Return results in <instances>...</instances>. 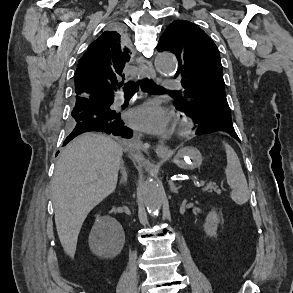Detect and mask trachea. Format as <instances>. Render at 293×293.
I'll use <instances>...</instances> for the list:
<instances>
[{
  "label": "trachea",
  "instance_id": "1",
  "mask_svg": "<svg viewBox=\"0 0 293 293\" xmlns=\"http://www.w3.org/2000/svg\"><path fill=\"white\" fill-rule=\"evenodd\" d=\"M139 84L141 86V88L149 93H162L164 92V90L159 87L154 85L149 79L145 78L142 81H138V82H129L128 84H126V86L124 87V94L125 95H132L136 92V90H138L139 88Z\"/></svg>",
  "mask_w": 293,
  "mask_h": 293
}]
</instances>
